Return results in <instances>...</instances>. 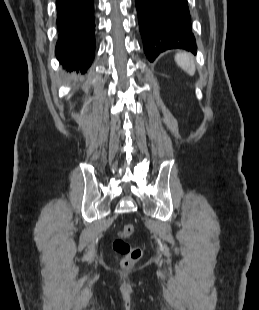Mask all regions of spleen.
Wrapping results in <instances>:
<instances>
[{
    "instance_id": "1",
    "label": "spleen",
    "mask_w": 259,
    "mask_h": 310,
    "mask_svg": "<svg viewBox=\"0 0 259 310\" xmlns=\"http://www.w3.org/2000/svg\"><path fill=\"white\" fill-rule=\"evenodd\" d=\"M175 61L181 69H183L189 75L195 73V62L193 56L189 53H177L175 55Z\"/></svg>"
}]
</instances>
